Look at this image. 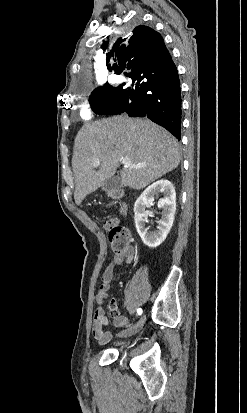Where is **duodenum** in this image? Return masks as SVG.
<instances>
[{"label":"duodenum","mask_w":247,"mask_h":413,"mask_svg":"<svg viewBox=\"0 0 247 413\" xmlns=\"http://www.w3.org/2000/svg\"><path fill=\"white\" fill-rule=\"evenodd\" d=\"M119 194L118 193H112L111 196L112 197H117ZM122 212H124V209H122Z\"/></svg>","instance_id":"obj_1"}]
</instances>
